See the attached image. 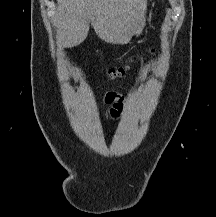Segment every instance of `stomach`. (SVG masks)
Returning a JSON list of instances; mask_svg holds the SVG:
<instances>
[{"instance_id": "obj_1", "label": "stomach", "mask_w": 216, "mask_h": 217, "mask_svg": "<svg viewBox=\"0 0 216 217\" xmlns=\"http://www.w3.org/2000/svg\"><path fill=\"white\" fill-rule=\"evenodd\" d=\"M145 25H146V17L144 16L139 22V24L137 25L135 31L133 32V35L140 36L143 32Z\"/></svg>"}]
</instances>
